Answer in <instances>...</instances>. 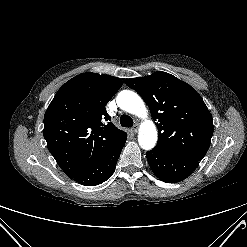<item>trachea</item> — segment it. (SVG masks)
Here are the masks:
<instances>
[{"label":"trachea","instance_id":"obj_1","mask_svg":"<svg viewBox=\"0 0 247 247\" xmlns=\"http://www.w3.org/2000/svg\"><path fill=\"white\" fill-rule=\"evenodd\" d=\"M120 124L123 127H132L133 126V119L128 115H122L120 117Z\"/></svg>","mask_w":247,"mask_h":247}]
</instances>
